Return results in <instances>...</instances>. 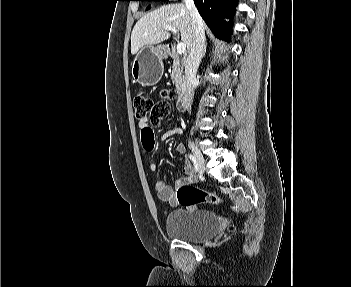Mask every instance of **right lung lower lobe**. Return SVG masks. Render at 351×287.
<instances>
[{
  "label": "right lung lower lobe",
  "instance_id": "right-lung-lower-lobe-1",
  "mask_svg": "<svg viewBox=\"0 0 351 287\" xmlns=\"http://www.w3.org/2000/svg\"><path fill=\"white\" fill-rule=\"evenodd\" d=\"M194 2L212 32L219 38L228 37L230 23L225 22L223 18H232L237 0H194Z\"/></svg>",
  "mask_w": 351,
  "mask_h": 287
}]
</instances>
